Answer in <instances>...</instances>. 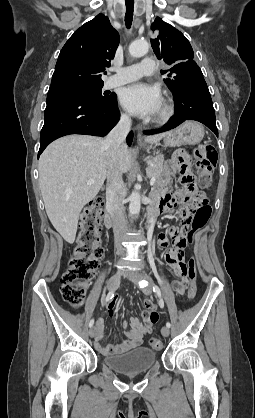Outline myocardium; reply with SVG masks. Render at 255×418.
Segmentation results:
<instances>
[{"label":"myocardium","mask_w":255,"mask_h":418,"mask_svg":"<svg viewBox=\"0 0 255 418\" xmlns=\"http://www.w3.org/2000/svg\"><path fill=\"white\" fill-rule=\"evenodd\" d=\"M174 104L170 100H166L160 111L158 112L155 121L157 123H166L174 114Z\"/></svg>","instance_id":"obj_1"}]
</instances>
